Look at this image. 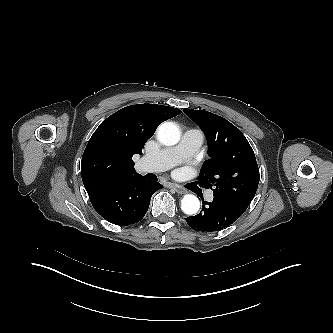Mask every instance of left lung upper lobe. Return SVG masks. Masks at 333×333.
Here are the masks:
<instances>
[{
    "mask_svg": "<svg viewBox=\"0 0 333 333\" xmlns=\"http://www.w3.org/2000/svg\"><path fill=\"white\" fill-rule=\"evenodd\" d=\"M205 133L207 160L198 177L213 187L214 195L247 209L257 191L259 169L254 152L242 132L226 119L208 111L183 110Z\"/></svg>",
    "mask_w": 333,
    "mask_h": 333,
    "instance_id": "obj_1",
    "label": "left lung upper lobe"
}]
</instances>
